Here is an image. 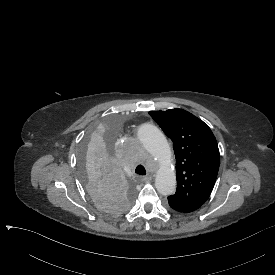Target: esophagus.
<instances>
[{
  "instance_id": "obj_1",
  "label": "esophagus",
  "mask_w": 275,
  "mask_h": 275,
  "mask_svg": "<svg viewBox=\"0 0 275 275\" xmlns=\"http://www.w3.org/2000/svg\"><path fill=\"white\" fill-rule=\"evenodd\" d=\"M141 179H142L144 182H149V181H151V177H148V176L142 177Z\"/></svg>"
}]
</instances>
